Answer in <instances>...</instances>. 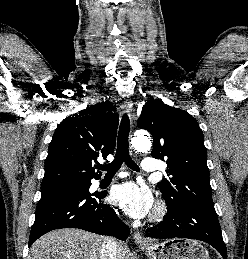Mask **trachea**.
<instances>
[{
    "label": "trachea",
    "instance_id": "obj_1",
    "mask_svg": "<svg viewBox=\"0 0 248 259\" xmlns=\"http://www.w3.org/2000/svg\"><path fill=\"white\" fill-rule=\"evenodd\" d=\"M129 131L130 120L129 117L124 114L119 127L117 151L114 160L110 164L100 165L98 167L100 170L107 171V175H114L120 169L123 162L132 170L139 171L137 164L129 155Z\"/></svg>",
    "mask_w": 248,
    "mask_h": 259
}]
</instances>
